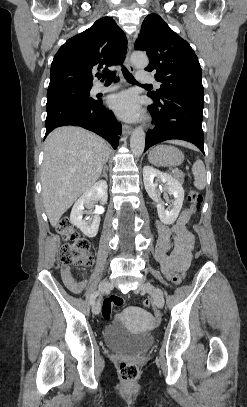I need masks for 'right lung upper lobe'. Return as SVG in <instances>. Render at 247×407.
<instances>
[{"mask_svg": "<svg viewBox=\"0 0 247 407\" xmlns=\"http://www.w3.org/2000/svg\"><path fill=\"white\" fill-rule=\"evenodd\" d=\"M127 40L111 17L97 20L89 29L72 37L54 56L49 88L65 86L92 87L93 75L105 67L124 61ZM96 73V74H95Z\"/></svg>", "mask_w": 247, "mask_h": 407, "instance_id": "cb5924a9", "label": "right lung upper lobe"}]
</instances>
